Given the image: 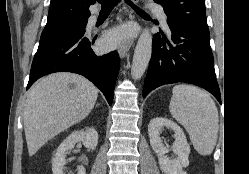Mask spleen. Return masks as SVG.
Returning a JSON list of instances; mask_svg holds the SVG:
<instances>
[{"label":"spleen","instance_id":"3e777b00","mask_svg":"<svg viewBox=\"0 0 249 174\" xmlns=\"http://www.w3.org/2000/svg\"><path fill=\"white\" fill-rule=\"evenodd\" d=\"M170 112L188 132L195 150L210 155L217 142L219 116L210 95L193 86L180 84L172 91Z\"/></svg>","mask_w":249,"mask_h":174}]
</instances>
